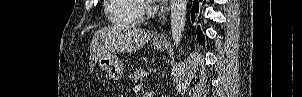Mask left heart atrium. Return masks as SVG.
Segmentation results:
<instances>
[{
  "mask_svg": "<svg viewBox=\"0 0 302 97\" xmlns=\"http://www.w3.org/2000/svg\"><path fill=\"white\" fill-rule=\"evenodd\" d=\"M149 2H151V3H156V2H158L157 0H149Z\"/></svg>",
  "mask_w": 302,
  "mask_h": 97,
  "instance_id": "1",
  "label": "left heart atrium"
}]
</instances>
